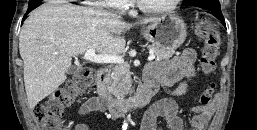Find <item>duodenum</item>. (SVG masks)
Wrapping results in <instances>:
<instances>
[{"instance_id": "obj_1", "label": "duodenum", "mask_w": 257, "mask_h": 130, "mask_svg": "<svg viewBox=\"0 0 257 130\" xmlns=\"http://www.w3.org/2000/svg\"><path fill=\"white\" fill-rule=\"evenodd\" d=\"M108 77L109 70L107 68H102L98 71L97 95L104 109L107 110L112 118H118L125 113L144 107L159 89L157 81L147 79L135 96L128 99H117L110 92Z\"/></svg>"}]
</instances>
